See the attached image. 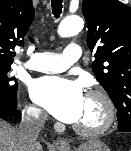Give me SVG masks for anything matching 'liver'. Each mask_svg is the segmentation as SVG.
I'll list each match as a JSON object with an SVG mask.
<instances>
[{
	"mask_svg": "<svg viewBox=\"0 0 131 151\" xmlns=\"http://www.w3.org/2000/svg\"><path fill=\"white\" fill-rule=\"evenodd\" d=\"M0 151H42V146L39 142L34 145L23 142L15 128L0 120Z\"/></svg>",
	"mask_w": 131,
	"mask_h": 151,
	"instance_id": "6515ba94",
	"label": "liver"
}]
</instances>
